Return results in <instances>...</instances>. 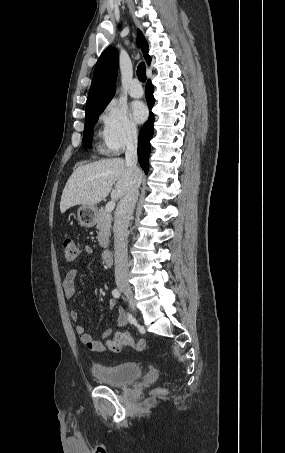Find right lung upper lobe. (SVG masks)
<instances>
[{
	"instance_id": "cb5924a9",
	"label": "right lung upper lobe",
	"mask_w": 285,
	"mask_h": 453,
	"mask_svg": "<svg viewBox=\"0 0 285 453\" xmlns=\"http://www.w3.org/2000/svg\"><path fill=\"white\" fill-rule=\"evenodd\" d=\"M137 44L141 47L148 64V44L141 31H138ZM119 55L115 47H107L96 63L93 80L86 102V114L104 109L114 96L118 71Z\"/></svg>"
}]
</instances>
